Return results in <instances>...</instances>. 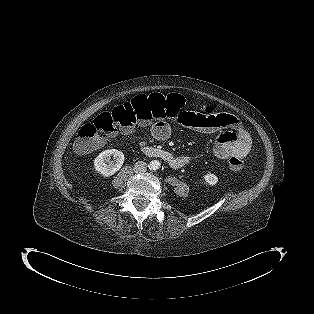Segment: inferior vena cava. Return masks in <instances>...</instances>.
<instances>
[{
	"instance_id": "1",
	"label": "inferior vena cava",
	"mask_w": 314,
	"mask_h": 314,
	"mask_svg": "<svg viewBox=\"0 0 314 314\" xmlns=\"http://www.w3.org/2000/svg\"><path fill=\"white\" fill-rule=\"evenodd\" d=\"M147 170V164L144 161H138L134 165V171L136 173H143L146 172Z\"/></svg>"
}]
</instances>
